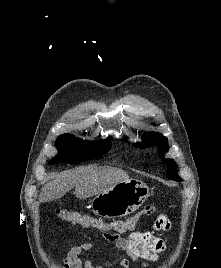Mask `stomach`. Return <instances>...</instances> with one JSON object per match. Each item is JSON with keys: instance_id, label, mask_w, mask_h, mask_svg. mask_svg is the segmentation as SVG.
I'll use <instances>...</instances> for the list:
<instances>
[{"instance_id": "0dacf381", "label": "stomach", "mask_w": 221, "mask_h": 268, "mask_svg": "<svg viewBox=\"0 0 221 268\" xmlns=\"http://www.w3.org/2000/svg\"><path fill=\"white\" fill-rule=\"evenodd\" d=\"M149 187L140 180L129 179L95 196L92 211L104 218H118L135 212L148 198Z\"/></svg>"}]
</instances>
